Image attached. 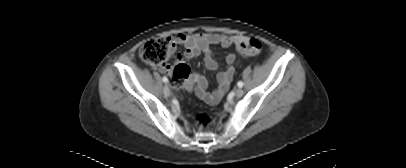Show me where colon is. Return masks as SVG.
Wrapping results in <instances>:
<instances>
[{
    "label": "colon",
    "instance_id": "colon-1",
    "mask_svg": "<svg viewBox=\"0 0 406 168\" xmlns=\"http://www.w3.org/2000/svg\"><path fill=\"white\" fill-rule=\"evenodd\" d=\"M172 50V40L170 38H155L144 43L139 51L140 57L145 62L152 65H161L168 58ZM240 53L244 57L257 56L262 51V43L257 38H251L242 42L239 47ZM190 73L189 67L179 64L174 68V79L185 78ZM212 119L207 114H201L197 117L198 127L207 130L211 125Z\"/></svg>",
    "mask_w": 406,
    "mask_h": 168
}]
</instances>
